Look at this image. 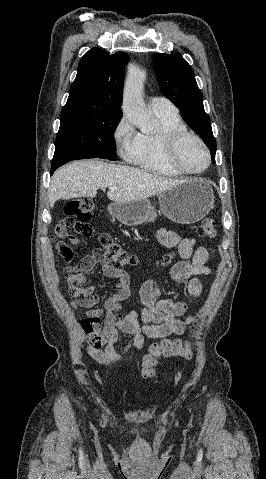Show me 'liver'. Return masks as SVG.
Segmentation results:
<instances>
[{
    "label": "liver",
    "instance_id": "1",
    "mask_svg": "<svg viewBox=\"0 0 266 479\" xmlns=\"http://www.w3.org/2000/svg\"><path fill=\"white\" fill-rule=\"evenodd\" d=\"M184 181L98 159L79 160L66 164L54 173L49 187V204L52 208L59 199L95 197L98 189L107 187H117L107 192V197L114 202L147 199Z\"/></svg>",
    "mask_w": 266,
    "mask_h": 479
}]
</instances>
